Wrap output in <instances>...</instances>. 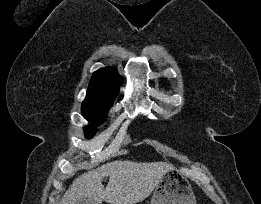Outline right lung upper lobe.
I'll return each mask as SVG.
<instances>
[{
	"label": "right lung upper lobe",
	"mask_w": 261,
	"mask_h": 204,
	"mask_svg": "<svg viewBox=\"0 0 261 204\" xmlns=\"http://www.w3.org/2000/svg\"><path fill=\"white\" fill-rule=\"evenodd\" d=\"M121 84L122 78L111 68L94 72L83 104L111 107Z\"/></svg>",
	"instance_id": "1"
}]
</instances>
